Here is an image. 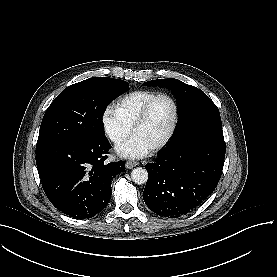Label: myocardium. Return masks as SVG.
I'll use <instances>...</instances> for the list:
<instances>
[{
    "label": "myocardium",
    "mask_w": 277,
    "mask_h": 277,
    "mask_svg": "<svg viewBox=\"0 0 277 277\" xmlns=\"http://www.w3.org/2000/svg\"><path fill=\"white\" fill-rule=\"evenodd\" d=\"M159 99L165 100L171 105L172 114H171V119H170L168 128H167L164 136L159 141H157L156 143L150 145L151 149H157V148L162 147L164 144H166L168 142V140L171 138V136L174 132L176 122H177V106L174 103V101L169 96H167L165 94L156 95L151 101H149L146 104V106L144 107L142 112L139 114V116L137 117V119H136V121H135V123L132 127V134L137 135L138 129L141 126V124L143 123V121L145 120L149 108L151 107V105L155 101H157Z\"/></svg>",
    "instance_id": "f54148a6"
}]
</instances>
